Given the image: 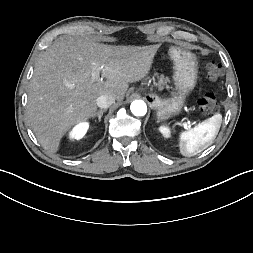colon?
<instances>
[{"label": "colon", "mask_w": 253, "mask_h": 253, "mask_svg": "<svg viewBox=\"0 0 253 253\" xmlns=\"http://www.w3.org/2000/svg\"><path fill=\"white\" fill-rule=\"evenodd\" d=\"M206 74L210 80H217L222 75V67L218 63L210 62L206 66ZM198 108L205 114L216 111L217 101L213 93H206L198 101Z\"/></svg>", "instance_id": "1"}]
</instances>
